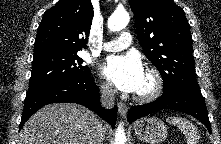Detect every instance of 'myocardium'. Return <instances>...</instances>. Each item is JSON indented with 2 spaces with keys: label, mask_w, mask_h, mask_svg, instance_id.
Wrapping results in <instances>:
<instances>
[{
  "label": "myocardium",
  "mask_w": 221,
  "mask_h": 144,
  "mask_svg": "<svg viewBox=\"0 0 221 144\" xmlns=\"http://www.w3.org/2000/svg\"><path fill=\"white\" fill-rule=\"evenodd\" d=\"M145 74L151 79L152 86L145 93H136L134 98L138 102L147 103L157 99L163 91V79L158 70L148 67Z\"/></svg>",
  "instance_id": "myocardium-1"
}]
</instances>
